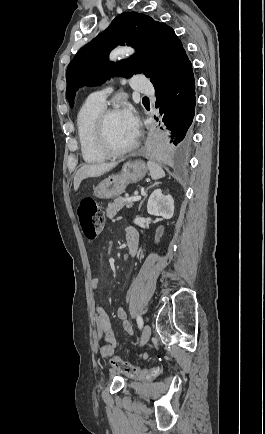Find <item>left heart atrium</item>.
Listing matches in <instances>:
<instances>
[{
  "mask_svg": "<svg viewBox=\"0 0 265 434\" xmlns=\"http://www.w3.org/2000/svg\"><path fill=\"white\" fill-rule=\"evenodd\" d=\"M119 115L128 131L134 138H137L139 127L134 109L130 105L125 104L120 110Z\"/></svg>",
  "mask_w": 265,
  "mask_h": 434,
  "instance_id": "1",
  "label": "left heart atrium"
}]
</instances>
